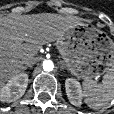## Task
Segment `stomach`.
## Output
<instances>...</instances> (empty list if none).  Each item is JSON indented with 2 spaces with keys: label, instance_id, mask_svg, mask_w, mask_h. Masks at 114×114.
I'll return each mask as SVG.
<instances>
[{
  "label": "stomach",
  "instance_id": "0dacf381",
  "mask_svg": "<svg viewBox=\"0 0 114 114\" xmlns=\"http://www.w3.org/2000/svg\"><path fill=\"white\" fill-rule=\"evenodd\" d=\"M56 43L67 68L79 78L93 81L114 67V42L93 25L71 27Z\"/></svg>",
  "mask_w": 114,
  "mask_h": 114
}]
</instances>
